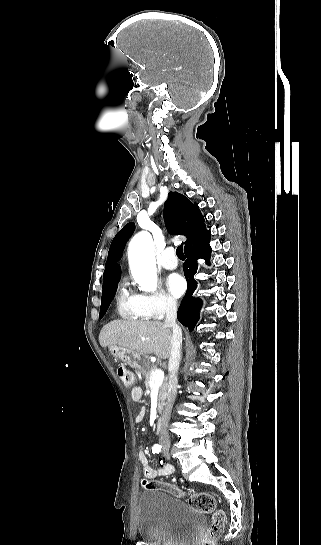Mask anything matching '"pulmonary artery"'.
Returning a JSON list of instances; mask_svg holds the SVG:
<instances>
[{
    "label": "pulmonary artery",
    "mask_w": 321,
    "mask_h": 545,
    "mask_svg": "<svg viewBox=\"0 0 321 545\" xmlns=\"http://www.w3.org/2000/svg\"><path fill=\"white\" fill-rule=\"evenodd\" d=\"M171 250H172L171 248H168L166 250H162L161 253H160V258L158 259L159 264L163 268L168 269V270H173V269L177 268V266H178V261L177 260H172L173 253H172Z\"/></svg>",
    "instance_id": "e3ab8cb5"
}]
</instances>
